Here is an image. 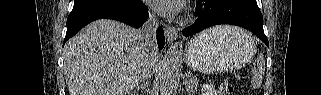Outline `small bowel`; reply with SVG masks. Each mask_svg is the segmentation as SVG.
<instances>
[{
	"label": "small bowel",
	"mask_w": 321,
	"mask_h": 95,
	"mask_svg": "<svg viewBox=\"0 0 321 95\" xmlns=\"http://www.w3.org/2000/svg\"><path fill=\"white\" fill-rule=\"evenodd\" d=\"M204 94L205 95H213L214 91L210 87H205L204 88Z\"/></svg>",
	"instance_id": "obj_1"
}]
</instances>
